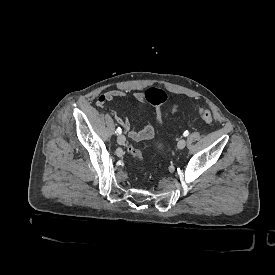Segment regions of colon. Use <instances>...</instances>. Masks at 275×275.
<instances>
[{"label":"colon","instance_id":"1","mask_svg":"<svg viewBox=\"0 0 275 275\" xmlns=\"http://www.w3.org/2000/svg\"><path fill=\"white\" fill-rule=\"evenodd\" d=\"M165 98H166L165 93L158 91L154 87H151V88L147 89V91H146V99L148 101H152L156 104L161 103L163 100H165ZM195 112L209 126L214 125V118L208 109L203 108V107H196ZM158 115H159V117H161L160 110H158ZM128 152L132 158H134L137 161H141V154H140L139 149L136 146H134V145L130 146L128 149Z\"/></svg>","mask_w":275,"mask_h":275}]
</instances>
